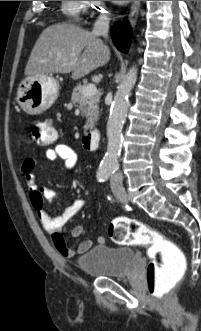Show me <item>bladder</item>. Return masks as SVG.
<instances>
[{"instance_id": "1", "label": "bladder", "mask_w": 201, "mask_h": 331, "mask_svg": "<svg viewBox=\"0 0 201 331\" xmlns=\"http://www.w3.org/2000/svg\"><path fill=\"white\" fill-rule=\"evenodd\" d=\"M135 260V253L126 247L99 244L77 259L81 272L94 278L125 277Z\"/></svg>"}]
</instances>
